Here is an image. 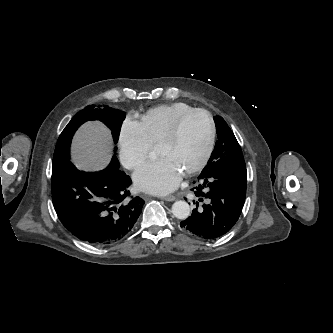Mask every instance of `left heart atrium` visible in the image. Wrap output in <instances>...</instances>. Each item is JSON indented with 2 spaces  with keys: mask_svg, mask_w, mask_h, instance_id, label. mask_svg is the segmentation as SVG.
Returning a JSON list of instances; mask_svg holds the SVG:
<instances>
[{
  "mask_svg": "<svg viewBox=\"0 0 333 333\" xmlns=\"http://www.w3.org/2000/svg\"><path fill=\"white\" fill-rule=\"evenodd\" d=\"M182 175V171L169 158L161 157L139 168L134 173V182L143 191L164 195L178 187Z\"/></svg>",
  "mask_w": 333,
  "mask_h": 333,
  "instance_id": "1",
  "label": "left heart atrium"
}]
</instances>
